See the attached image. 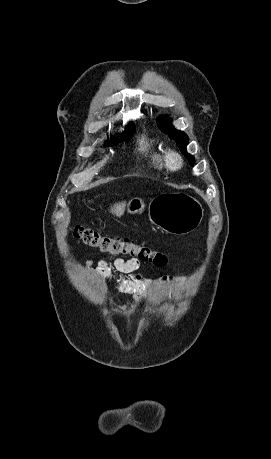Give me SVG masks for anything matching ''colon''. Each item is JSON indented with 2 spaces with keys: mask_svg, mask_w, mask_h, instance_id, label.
I'll return each instance as SVG.
<instances>
[{
  "mask_svg": "<svg viewBox=\"0 0 271 459\" xmlns=\"http://www.w3.org/2000/svg\"><path fill=\"white\" fill-rule=\"evenodd\" d=\"M73 236L90 248L110 255H122L136 258L140 261L151 262L156 266L167 263L165 255L156 252L146 243H140L129 238L111 237L98 230L76 226L72 228Z\"/></svg>",
  "mask_w": 271,
  "mask_h": 459,
  "instance_id": "1",
  "label": "colon"
}]
</instances>
